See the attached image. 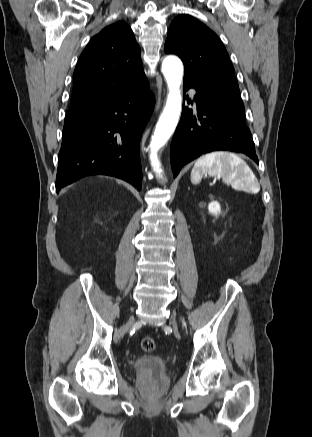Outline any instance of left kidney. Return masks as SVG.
I'll use <instances>...</instances> for the list:
<instances>
[{"label": "left kidney", "instance_id": "obj_1", "mask_svg": "<svg viewBox=\"0 0 312 437\" xmlns=\"http://www.w3.org/2000/svg\"><path fill=\"white\" fill-rule=\"evenodd\" d=\"M208 210L211 214H213L216 217L221 214V206L219 202L214 200L209 203Z\"/></svg>", "mask_w": 312, "mask_h": 437}]
</instances>
